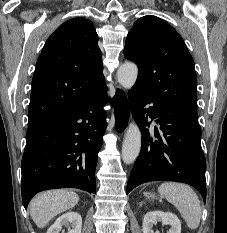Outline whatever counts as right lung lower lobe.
I'll list each match as a JSON object with an SVG mask.
<instances>
[{"label": "right lung lower lobe", "instance_id": "1", "mask_svg": "<svg viewBox=\"0 0 227 233\" xmlns=\"http://www.w3.org/2000/svg\"><path fill=\"white\" fill-rule=\"evenodd\" d=\"M106 85L86 100L28 127L22 158V201L43 190L78 188L96 193L95 168L106 129ZM118 130L121 122L114 99Z\"/></svg>", "mask_w": 227, "mask_h": 233}]
</instances>
